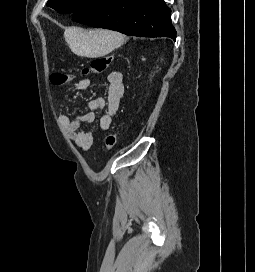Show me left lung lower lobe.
<instances>
[{
  "label": "left lung lower lobe",
  "mask_w": 255,
  "mask_h": 272,
  "mask_svg": "<svg viewBox=\"0 0 255 272\" xmlns=\"http://www.w3.org/2000/svg\"><path fill=\"white\" fill-rule=\"evenodd\" d=\"M72 20L129 36L176 39L164 0H91L73 13Z\"/></svg>",
  "instance_id": "1"
}]
</instances>
